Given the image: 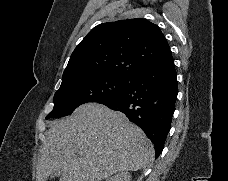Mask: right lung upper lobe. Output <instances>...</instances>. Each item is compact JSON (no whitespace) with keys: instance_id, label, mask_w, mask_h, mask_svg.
Instances as JSON below:
<instances>
[{"instance_id":"1","label":"right lung upper lobe","mask_w":228,"mask_h":181,"mask_svg":"<svg viewBox=\"0 0 228 181\" xmlns=\"http://www.w3.org/2000/svg\"><path fill=\"white\" fill-rule=\"evenodd\" d=\"M171 51L159 27L146 19L106 22L94 27L73 51L62 84L97 75L132 77Z\"/></svg>"}]
</instances>
